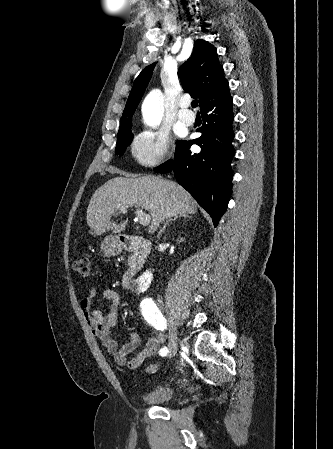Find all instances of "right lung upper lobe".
I'll return each instance as SVG.
<instances>
[{
    "label": "right lung upper lobe",
    "mask_w": 333,
    "mask_h": 449,
    "mask_svg": "<svg viewBox=\"0 0 333 449\" xmlns=\"http://www.w3.org/2000/svg\"><path fill=\"white\" fill-rule=\"evenodd\" d=\"M154 66L155 63L144 68L135 79L120 121L131 119L133 116L151 78ZM178 74L182 87L194 98L199 99L200 107L220 91L228 88L223 66L217 58L216 48L205 40L195 41L191 57L181 65Z\"/></svg>",
    "instance_id": "1"
}]
</instances>
